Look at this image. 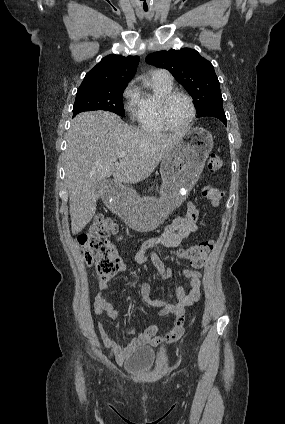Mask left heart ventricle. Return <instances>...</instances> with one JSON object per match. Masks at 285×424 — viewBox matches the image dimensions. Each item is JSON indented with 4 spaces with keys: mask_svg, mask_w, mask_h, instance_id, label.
<instances>
[{
    "mask_svg": "<svg viewBox=\"0 0 285 424\" xmlns=\"http://www.w3.org/2000/svg\"><path fill=\"white\" fill-rule=\"evenodd\" d=\"M190 115L191 108L184 97L176 96L170 101L167 107V116L172 125L176 127L184 126L189 120Z\"/></svg>",
    "mask_w": 285,
    "mask_h": 424,
    "instance_id": "left-heart-ventricle-1",
    "label": "left heart ventricle"
}]
</instances>
